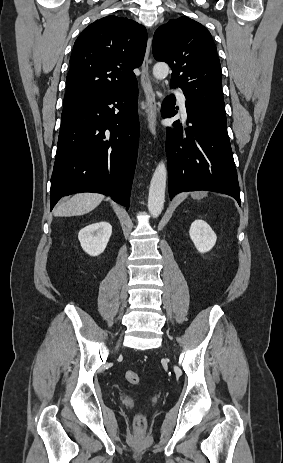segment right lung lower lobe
Instances as JSON below:
<instances>
[{
  "label": "right lung lower lobe",
  "instance_id": "right-lung-lower-lobe-1",
  "mask_svg": "<svg viewBox=\"0 0 283 463\" xmlns=\"http://www.w3.org/2000/svg\"><path fill=\"white\" fill-rule=\"evenodd\" d=\"M138 84L64 110L51 177L50 208L62 196L97 192L129 207L136 166Z\"/></svg>",
  "mask_w": 283,
  "mask_h": 463
}]
</instances>
